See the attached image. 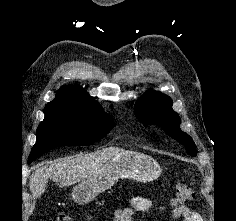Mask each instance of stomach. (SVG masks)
<instances>
[{
  "instance_id": "obj_1",
  "label": "stomach",
  "mask_w": 236,
  "mask_h": 221,
  "mask_svg": "<svg viewBox=\"0 0 236 221\" xmlns=\"http://www.w3.org/2000/svg\"><path fill=\"white\" fill-rule=\"evenodd\" d=\"M161 173L160 165L148 155L123 152L107 161L90 178L72 189L74 201L84 204L99 193L111 188L120 178H130L139 182H152Z\"/></svg>"
}]
</instances>
